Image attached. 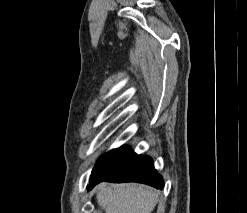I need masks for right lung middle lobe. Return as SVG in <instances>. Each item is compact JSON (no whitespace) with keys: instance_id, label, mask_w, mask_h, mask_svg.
<instances>
[{"instance_id":"right-lung-middle-lobe-1","label":"right lung middle lobe","mask_w":247,"mask_h":213,"mask_svg":"<svg viewBox=\"0 0 247 213\" xmlns=\"http://www.w3.org/2000/svg\"><path fill=\"white\" fill-rule=\"evenodd\" d=\"M111 152H112V151H109L108 153L104 154L103 156H101V157L99 158V160L97 161V164H96L95 167L93 168L92 174H91V176H90V180H92L93 178H95V177L98 175V165H99V163H100L103 159H105ZM90 180H89V181H90Z\"/></svg>"}]
</instances>
